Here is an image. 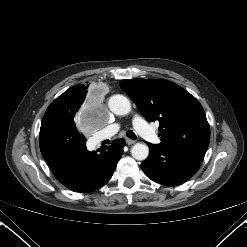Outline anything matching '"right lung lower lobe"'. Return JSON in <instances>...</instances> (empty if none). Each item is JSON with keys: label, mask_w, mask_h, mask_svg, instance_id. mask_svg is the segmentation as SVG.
I'll list each match as a JSON object with an SVG mask.
<instances>
[{"label": "right lung lower lobe", "mask_w": 247, "mask_h": 247, "mask_svg": "<svg viewBox=\"0 0 247 247\" xmlns=\"http://www.w3.org/2000/svg\"><path fill=\"white\" fill-rule=\"evenodd\" d=\"M75 124L52 117L41 123V153L54 176L75 192H91L107 183L123 154L125 140H115L97 153L89 152Z\"/></svg>", "instance_id": "1"}]
</instances>
